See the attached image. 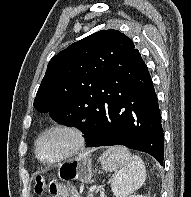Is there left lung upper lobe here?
Segmentation results:
<instances>
[{
    "label": "left lung upper lobe",
    "instance_id": "5c2ea615",
    "mask_svg": "<svg viewBox=\"0 0 191 197\" xmlns=\"http://www.w3.org/2000/svg\"><path fill=\"white\" fill-rule=\"evenodd\" d=\"M147 69L132 40L120 31L96 32L71 44L48 63L34 107L85 136L84 121L116 90L123 77Z\"/></svg>",
    "mask_w": 191,
    "mask_h": 197
}]
</instances>
